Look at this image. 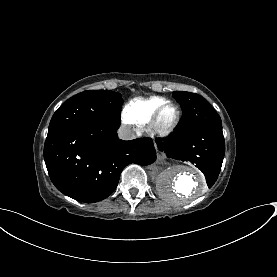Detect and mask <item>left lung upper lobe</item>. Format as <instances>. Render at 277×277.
Returning a JSON list of instances; mask_svg holds the SVG:
<instances>
[{
  "label": "left lung upper lobe",
  "mask_w": 277,
  "mask_h": 277,
  "mask_svg": "<svg viewBox=\"0 0 277 277\" xmlns=\"http://www.w3.org/2000/svg\"><path fill=\"white\" fill-rule=\"evenodd\" d=\"M173 97L179 102L183 119L178 130H187L204 125L222 124L220 116L213 107L200 95L175 91Z\"/></svg>",
  "instance_id": "1"
}]
</instances>
